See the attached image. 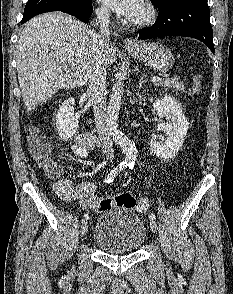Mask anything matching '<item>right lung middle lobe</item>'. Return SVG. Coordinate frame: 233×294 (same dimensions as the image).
<instances>
[{
	"label": "right lung middle lobe",
	"mask_w": 233,
	"mask_h": 294,
	"mask_svg": "<svg viewBox=\"0 0 233 294\" xmlns=\"http://www.w3.org/2000/svg\"><path fill=\"white\" fill-rule=\"evenodd\" d=\"M82 0H28L22 22H26L30 18L50 11H58L74 6Z\"/></svg>",
	"instance_id": "right-lung-middle-lobe-1"
}]
</instances>
